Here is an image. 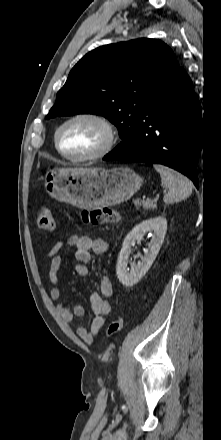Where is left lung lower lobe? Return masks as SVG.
I'll list each match as a JSON object with an SVG mask.
<instances>
[{"label": "left lung lower lobe", "instance_id": "1", "mask_svg": "<svg viewBox=\"0 0 221 440\" xmlns=\"http://www.w3.org/2000/svg\"><path fill=\"white\" fill-rule=\"evenodd\" d=\"M201 106L181 67L146 105L126 147L103 160L169 166L198 187L197 156L203 145Z\"/></svg>", "mask_w": 221, "mask_h": 440}]
</instances>
